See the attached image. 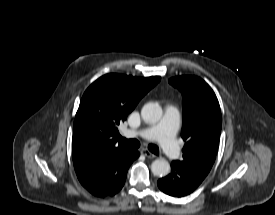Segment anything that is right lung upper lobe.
<instances>
[{"mask_svg":"<svg viewBox=\"0 0 275 215\" xmlns=\"http://www.w3.org/2000/svg\"><path fill=\"white\" fill-rule=\"evenodd\" d=\"M160 77L106 74L85 91L74 121L72 156L75 171L99 155L127 150L117 144V126Z\"/></svg>","mask_w":275,"mask_h":215,"instance_id":"obj_1","label":"right lung upper lobe"}]
</instances>
